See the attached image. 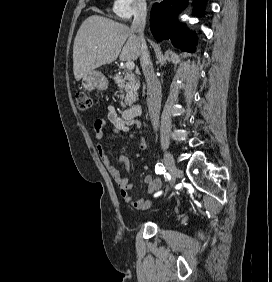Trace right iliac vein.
I'll use <instances>...</instances> for the list:
<instances>
[{
	"mask_svg": "<svg viewBox=\"0 0 272 282\" xmlns=\"http://www.w3.org/2000/svg\"><path fill=\"white\" fill-rule=\"evenodd\" d=\"M164 163H165L166 168L168 169V171L171 174V186H172L173 183L175 182V179L178 173V168L175 164V161L172 155L169 152H165L164 154Z\"/></svg>",
	"mask_w": 272,
	"mask_h": 282,
	"instance_id": "1",
	"label": "right iliac vein"
}]
</instances>
